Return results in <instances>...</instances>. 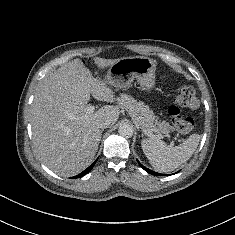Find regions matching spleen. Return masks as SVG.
<instances>
[{
	"mask_svg": "<svg viewBox=\"0 0 235 235\" xmlns=\"http://www.w3.org/2000/svg\"><path fill=\"white\" fill-rule=\"evenodd\" d=\"M200 135H190L182 144L169 148L166 143L156 138L143 139L142 150L155 171L170 172L184 164L195 152Z\"/></svg>",
	"mask_w": 235,
	"mask_h": 235,
	"instance_id": "3e777b00",
	"label": "spleen"
}]
</instances>
